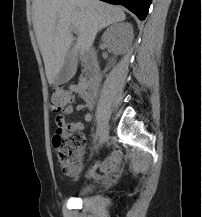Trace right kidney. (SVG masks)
Returning a JSON list of instances; mask_svg holds the SVG:
<instances>
[{"mask_svg": "<svg viewBox=\"0 0 202 217\" xmlns=\"http://www.w3.org/2000/svg\"><path fill=\"white\" fill-rule=\"evenodd\" d=\"M133 40V28L129 23H115L102 35V41L109 45L114 54H123Z\"/></svg>", "mask_w": 202, "mask_h": 217, "instance_id": "right-kidney-1", "label": "right kidney"}]
</instances>
